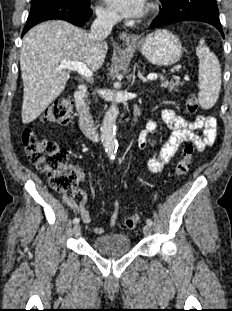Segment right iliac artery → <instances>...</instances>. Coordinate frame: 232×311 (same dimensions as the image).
Segmentation results:
<instances>
[{
  "label": "right iliac artery",
  "mask_w": 232,
  "mask_h": 311,
  "mask_svg": "<svg viewBox=\"0 0 232 311\" xmlns=\"http://www.w3.org/2000/svg\"><path fill=\"white\" fill-rule=\"evenodd\" d=\"M80 222V219L78 217L74 218L73 219V223L74 224H78Z\"/></svg>",
  "instance_id": "right-iliac-artery-1"
}]
</instances>
